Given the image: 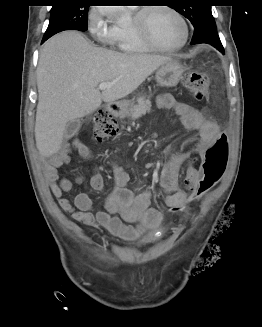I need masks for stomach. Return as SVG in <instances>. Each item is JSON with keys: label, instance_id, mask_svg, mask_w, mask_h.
<instances>
[{"label": "stomach", "instance_id": "stomach-1", "mask_svg": "<svg viewBox=\"0 0 262 327\" xmlns=\"http://www.w3.org/2000/svg\"><path fill=\"white\" fill-rule=\"evenodd\" d=\"M184 72V67L175 60H171L161 65L156 71L155 79L157 83L165 87L176 86ZM119 111L116 113L120 116H125L128 112L129 104L122 102L118 104Z\"/></svg>", "mask_w": 262, "mask_h": 327}]
</instances>
